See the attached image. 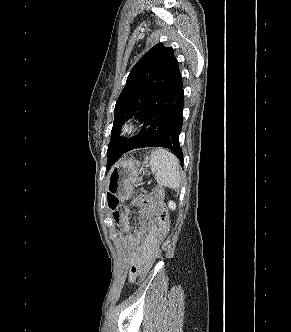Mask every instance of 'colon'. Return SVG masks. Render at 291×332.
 I'll return each mask as SVG.
<instances>
[{"label":"colon","instance_id":"colon-1","mask_svg":"<svg viewBox=\"0 0 291 332\" xmlns=\"http://www.w3.org/2000/svg\"><path fill=\"white\" fill-rule=\"evenodd\" d=\"M155 198L150 194H142L139 198V205L142 217L145 219L146 223H150L152 219H155L160 227V240L163 241L169 231V221L167 211L163 206V190L161 188H156L154 191ZM118 200L115 197H108V206L113 211V217L117 222L126 223L127 217L125 215H120L117 211ZM161 255V250L159 245H156L151 256L146 259L142 264L133 267V280L135 282L141 281L149 269L152 267L153 263Z\"/></svg>","mask_w":291,"mask_h":332}]
</instances>
